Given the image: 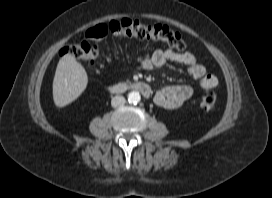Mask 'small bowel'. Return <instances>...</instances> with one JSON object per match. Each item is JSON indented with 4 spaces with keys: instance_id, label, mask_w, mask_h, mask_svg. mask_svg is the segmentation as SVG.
Here are the masks:
<instances>
[{
    "instance_id": "1",
    "label": "small bowel",
    "mask_w": 272,
    "mask_h": 198,
    "mask_svg": "<svg viewBox=\"0 0 272 198\" xmlns=\"http://www.w3.org/2000/svg\"><path fill=\"white\" fill-rule=\"evenodd\" d=\"M138 65L150 70L164 66L167 62L183 65L188 74L199 82L202 89H213L218 85V79L206 71L196 57L190 52L179 53L172 49L157 50L148 56H138ZM193 95L192 87L188 85L167 86L156 92L154 102L166 110H174L183 105Z\"/></svg>"
}]
</instances>
